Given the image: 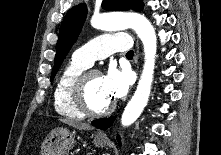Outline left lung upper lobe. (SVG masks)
I'll use <instances>...</instances> for the list:
<instances>
[{
  "label": "left lung upper lobe",
  "mask_w": 221,
  "mask_h": 155,
  "mask_svg": "<svg viewBox=\"0 0 221 155\" xmlns=\"http://www.w3.org/2000/svg\"><path fill=\"white\" fill-rule=\"evenodd\" d=\"M102 7L110 11L142 10L143 3L142 0H103ZM86 15L87 6L84 3L71 8L67 12L60 27L51 80L55 77L63 59L77 40Z\"/></svg>",
  "instance_id": "left-lung-upper-lobe-1"
}]
</instances>
